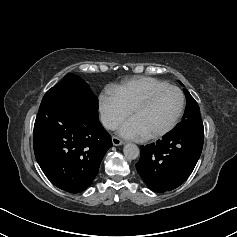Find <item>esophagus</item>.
<instances>
[{
    "label": "esophagus",
    "mask_w": 237,
    "mask_h": 237,
    "mask_svg": "<svg viewBox=\"0 0 237 237\" xmlns=\"http://www.w3.org/2000/svg\"><path fill=\"white\" fill-rule=\"evenodd\" d=\"M112 143H113L114 146H119V145L124 144V141H122L118 137L113 136L112 137Z\"/></svg>",
    "instance_id": "esophagus-1"
}]
</instances>
